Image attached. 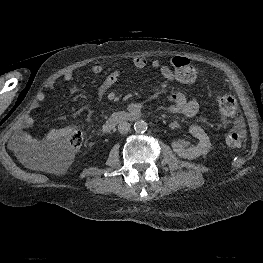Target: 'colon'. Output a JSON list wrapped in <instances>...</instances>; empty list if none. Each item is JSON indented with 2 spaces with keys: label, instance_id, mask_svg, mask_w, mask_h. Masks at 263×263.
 I'll return each mask as SVG.
<instances>
[{
  "label": "colon",
  "instance_id": "colon-1",
  "mask_svg": "<svg viewBox=\"0 0 263 263\" xmlns=\"http://www.w3.org/2000/svg\"><path fill=\"white\" fill-rule=\"evenodd\" d=\"M171 66L175 79L185 85H191L201 79L199 71L186 58L175 57L171 60ZM216 99L219 104V117L223 124H228L236 114L237 105L235 100L224 94L221 90L216 91ZM83 134L79 130H72L66 138V145L55 148L51 153V159L56 164H65L71 154L78 150L83 144ZM226 144L233 149L240 148L244 141L241 130H231L226 135Z\"/></svg>",
  "mask_w": 263,
  "mask_h": 263
}]
</instances>
